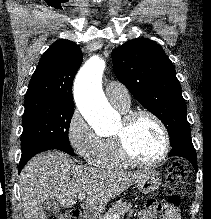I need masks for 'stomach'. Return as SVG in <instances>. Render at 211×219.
I'll return each instance as SVG.
<instances>
[{
    "label": "stomach",
    "mask_w": 211,
    "mask_h": 219,
    "mask_svg": "<svg viewBox=\"0 0 211 219\" xmlns=\"http://www.w3.org/2000/svg\"><path fill=\"white\" fill-rule=\"evenodd\" d=\"M161 183L159 173L148 171L147 174L137 182V189L143 194L155 191Z\"/></svg>",
    "instance_id": "1"
}]
</instances>
